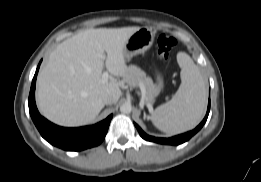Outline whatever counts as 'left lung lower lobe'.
I'll return each mask as SVG.
<instances>
[{
	"instance_id": "left-lung-lower-lobe-1",
	"label": "left lung lower lobe",
	"mask_w": 261,
	"mask_h": 182,
	"mask_svg": "<svg viewBox=\"0 0 261 182\" xmlns=\"http://www.w3.org/2000/svg\"><path fill=\"white\" fill-rule=\"evenodd\" d=\"M209 111H210V99H209V103H208L207 113H206V116L203 119V121L194 130L181 134V135L171 137V138H157V137L149 136L146 133H144L137 124H135V126H136L140 136L147 141L156 142V143H160V144L179 145L181 143L188 141L194 134H196L203 127V125L205 124V122L207 120Z\"/></svg>"
}]
</instances>
